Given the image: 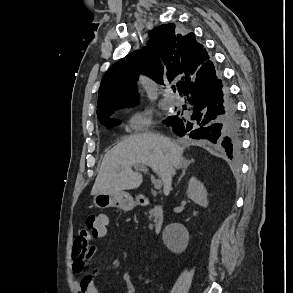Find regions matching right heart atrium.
I'll use <instances>...</instances> for the list:
<instances>
[{
  "instance_id": "1",
  "label": "right heart atrium",
  "mask_w": 293,
  "mask_h": 293,
  "mask_svg": "<svg viewBox=\"0 0 293 293\" xmlns=\"http://www.w3.org/2000/svg\"><path fill=\"white\" fill-rule=\"evenodd\" d=\"M152 125V115L149 111H140L133 114L128 120V128L131 130H145Z\"/></svg>"
}]
</instances>
